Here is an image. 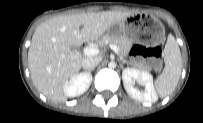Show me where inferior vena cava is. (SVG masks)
I'll list each match as a JSON object with an SVG mask.
<instances>
[{"label":"inferior vena cava","instance_id":"inferior-vena-cava-1","mask_svg":"<svg viewBox=\"0 0 203 123\" xmlns=\"http://www.w3.org/2000/svg\"><path fill=\"white\" fill-rule=\"evenodd\" d=\"M100 61L101 59L98 57H87L82 60V67L86 70H93Z\"/></svg>","mask_w":203,"mask_h":123}]
</instances>
